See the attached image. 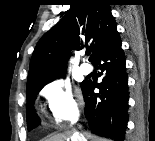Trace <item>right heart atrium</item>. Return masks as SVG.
Returning a JSON list of instances; mask_svg holds the SVG:
<instances>
[{"instance_id": "d8ad5b80", "label": "right heart atrium", "mask_w": 155, "mask_h": 141, "mask_svg": "<svg viewBox=\"0 0 155 141\" xmlns=\"http://www.w3.org/2000/svg\"><path fill=\"white\" fill-rule=\"evenodd\" d=\"M49 118L56 125L74 122L78 118V101L71 86L56 79L41 90Z\"/></svg>"}]
</instances>
